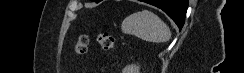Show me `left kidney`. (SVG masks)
I'll return each mask as SVG.
<instances>
[{
    "label": "left kidney",
    "mask_w": 244,
    "mask_h": 73,
    "mask_svg": "<svg viewBox=\"0 0 244 73\" xmlns=\"http://www.w3.org/2000/svg\"><path fill=\"white\" fill-rule=\"evenodd\" d=\"M122 73H140V67L136 64L127 65Z\"/></svg>",
    "instance_id": "obj_1"
}]
</instances>
